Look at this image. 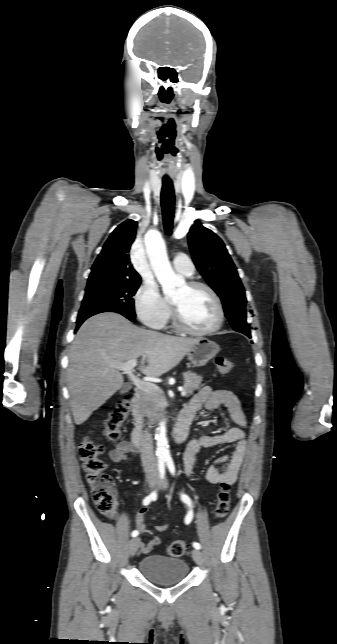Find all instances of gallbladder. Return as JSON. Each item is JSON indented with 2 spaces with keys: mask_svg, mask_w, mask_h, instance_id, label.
<instances>
[{
  "mask_svg": "<svg viewBox=\"0 0 337 644\" xmlns=\"http://www.w3.org/2000/svg\"><path fill=\"white\" fill-rule=\"evenodd\" d=\"M128 390H129V387L127 385H123L120 390V393H126Z\"/></svg>",
  "mask_w": 337,
  "mask_h": 644,
  "instance_id": "1",
  "label": "gallbladder"
}]
</instances>
